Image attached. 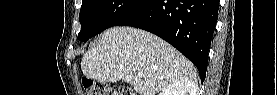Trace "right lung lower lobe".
<instances>
[{
    "instance_id": "98d812e1",
    "label": "right lung lower lobe",
    "mask_w": 277,
    "mask_h": 95,
    "mask_svg": "<svg viewBox=\"0 0 277 95\" xmlns=\"http://www.w3.org/2000/svg\"><path fill=\"white\" fill-rule=\"evenodd\" d=\"M219 0H143L116 26L149 31L178 49L198 68L204 81Z\"/></svg>"
}]
</instances>
